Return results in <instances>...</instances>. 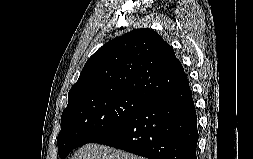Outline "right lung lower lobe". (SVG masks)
Instances as JSON below:
<instances>
[{"label": "right lung lower lobe", "mask_w": 253, "mask_h": 159, "mask_svg": "<svg viewBox=\"0 0 253 159\" xmlns=\"http://www.w3.org/2000/svg\"><path fill=\"white\" fill-rule=\"evenodd\" d=\"M197 116L188 81L151 99L128 120L91 143L149 159H196Z\"/></svg>", "instance_id": "98d812e1"}]
</instances>
